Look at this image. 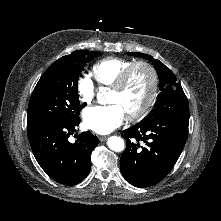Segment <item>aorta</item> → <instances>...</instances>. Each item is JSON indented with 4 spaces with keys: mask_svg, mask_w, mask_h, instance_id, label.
<instances>
[{
    "mask_svg": "<svg viewBox=\"0 0 221 221\" xmlns=\"http://www.w3.org/2000/svg\"><path fill=\"white\" fill-rule=\"evenodd\" d=\"M102 98H103L102 94L99 93L98 100L100 101ZM107 145L111 150L115 152H121L124 150V141L121 137H118V136L109 137L107 141Z\"/></svg>",
    "mask_w": 221,
    "mask_h": 221,
    "instance_id": "1",
    "label": "aorta"
}]
</instances>
